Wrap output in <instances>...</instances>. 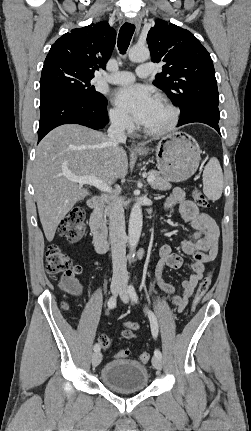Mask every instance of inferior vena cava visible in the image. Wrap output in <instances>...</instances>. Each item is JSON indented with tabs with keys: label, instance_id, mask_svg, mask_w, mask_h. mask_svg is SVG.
<instances>
[{
	"label": "inferior vena cava",
	"instance_id": "602c4592",
	"mask_svg": "<svg viewBox=\"0 0 251 431\" xmlns=\"http://www.w3.org/2000/svg\"><path fill=\"white\" fill-rule=\"evenodd\" d=\"M128 124L126 116L112 119L108 128V137L113 144L126 143L125 129ZM109 236L112 251L113 279L128 280L126 269V232L124 210L116 197L108 200Z\"/></svg>",
	"mask_w": 251,
	"mask_h": 431
}]
</instances>
